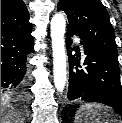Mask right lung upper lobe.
I'll return each instance as SVG.
<instances>
[{"label":"right lung upper lobe","instance_id":"obj_1","mask_svg":"<svg viewBox=\"0 0 122 123\" xmlns=\"http://www.w3.org/2000/svg\"><path fill=\"white\" fill-rule=\"evenodd\" d=\"M3 29H32L29 13L22 0H1V30Z\"/></svg>","mask_w":122,"mask_h":123}]
</instances>
